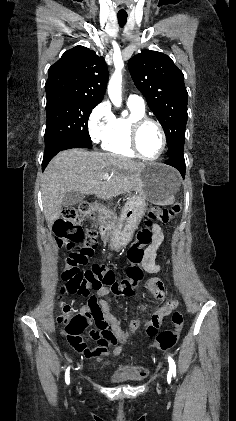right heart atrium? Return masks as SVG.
Masks as SVG:
<instances>
[{"label": "right heart atrium", "instance_id": "d8ad5b80", "mask_svg": "<svg viewBox=\"0 0 236 421\" xmlns=\"http://www.w3.org/2000/svg\"><path fill=\"white\" fill-rule=\"evenodd\" d=\"M113 118L114 116L106 102L98 104L91 111L88 118V132L91 141L94 144H98L102 141L113 121Z\"/></svg>", "mask_w": 236, "mask_h": 421}]
</instances>
